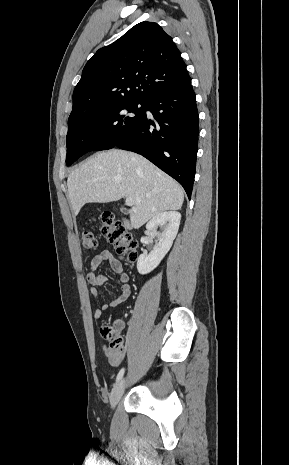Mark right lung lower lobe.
<instances>
[{
    "mask_svg": "<svg viewBox=\"0 0 289 465\" xmlns=\"http://www.w3.org/2000/svg\"><path fill=\"white\" fill-rule=\"evenodd\" d=\"M140 123L114 147L141 154L176 179L190 199L196 168L199 120L191 81L145 101Z\"/></svg>",
    "mask_w": 289,
    "mask_h": 465,
    "instance_id": "98d812e1",
    "label": "right lung lower lobe"
}]
</instances>
